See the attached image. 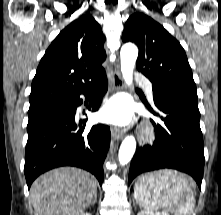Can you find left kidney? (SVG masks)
I'll return each mask as SVG.
<instances>
[{"mask_svg":"<svg viewBox=\"0 0 221 215\" xmlns=\"http://www.w3.org/2000/svg\"><path fill=\"white\" fill-rule=\"evenodd\" d=\"M137 215H168L167 213H153L152 211L141 210Z\"/></svg>","mask_w":221,"mask_h":215,"instance_id":"left-kidney-1","label":"left kidney"}]
</instances>
